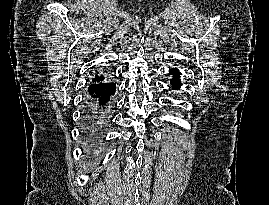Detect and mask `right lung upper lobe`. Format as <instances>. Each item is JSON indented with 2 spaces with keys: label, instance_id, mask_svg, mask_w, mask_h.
<instances>
[{
  "label": "right lung upper lobe",
  "instance_id": "right-lung-upper-lobe-1",
  "mask_svg": "<svg viewBox=\"0 0 269 205\" xmlns=\"http://www.w3.org/2000/svg\"><path fill=\"white\" fill-rule=\"evenodd\" d=\"M94 83H100V82H105V77L104 76H99L95 75V78L92 80Z\"/></svg>",
  "mask_w": 269,
  "mask_h": 205
}]
</instances>
